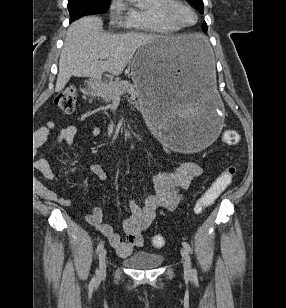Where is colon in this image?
<instances>
[{
    "label": "colon",
    "instance_id": "colon-1",
    "mask_svg": "<svg viewBox=\"0 0 286 308\" xmlns=\"http://www.w3.org/2000/svg\"><path fill=\"white\" fill-rule=\"evenodd\" d=\"M76 101L77 90L75 87L70 86L56 95L54 104L61 111L70 113L74 111ZM222 140L229 146H236L240 142V135L238 131L228 129L223 132ZM235 174L236 166L234 164L228 165L222 172H220L195 203L194 212L196 214H200L206 207L213 204L218 199V197L231 185ZM152 245L155 248L164 247L165 238L162 235L153 236Z\"/></svg>",
    "mask_w": 286,
    "mask_h": 308
}]
</instances>
